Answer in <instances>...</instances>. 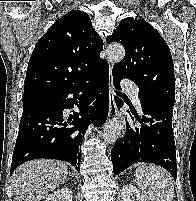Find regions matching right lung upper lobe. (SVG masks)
<instances>
[{
	"instance_id": "obj_1",
	"label": "right lung upper lobe",
	"mask_w": 196,
	"mask_h": 201,
	"mask_svg": "<svg viewBox=\"0 0 196 201\" xmlns=\"http://www.w3.org/2000/svg\"><path fill=\"white\" fill-rule=\"evenodd\" d=\"M103 41L86 12L73 10L40 38L30 57L23 97L42 96L72 85L106 60Z\"/></svg>"
}]
</instances>
